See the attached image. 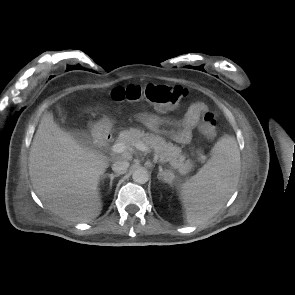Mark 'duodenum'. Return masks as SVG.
Instances as JSON below:
<instances>
[{"instance_id":"410a0bca","label":"duodenum","mask_w":295,"mask_h":295,"mask_svg":"<svg viewBox=\"0 0 295 295\" xmlns=\"http://www.w3.org/2000/svg\"><path fill=\"white\" fill-rule=\"evenodd\" d=\"M110 140L111 136L106 132H99L95 137L96 145L100 148L107 146Z\"/></svg>"}]
</instances>
